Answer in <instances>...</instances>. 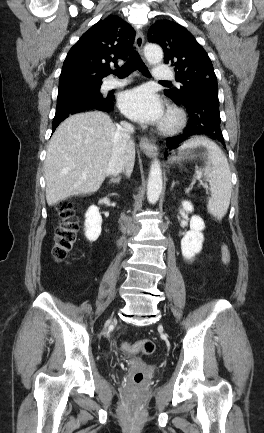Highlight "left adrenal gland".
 Here are the masks:
<instances>
[{"label":"left adrenal gland","instance_id":"left-adrenal-gland-1","mask_svg":"<svg viewBox=\"0 0 264 433\" xmlns=\"http://www.w3.org/2000/svg\"><path fill=\"white\" fill-rule=\"evenodd\" d=\"M175 184H176V182L173 180L172 184H171V190L174 188Z\"/></svg>","mask_w":264,"mask_h":433}]
</instances>
